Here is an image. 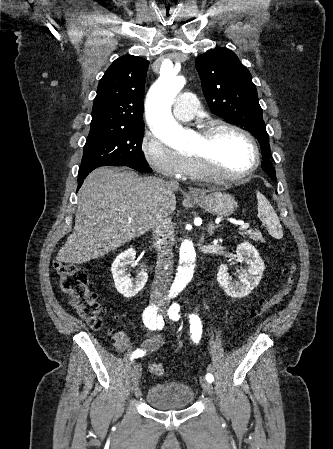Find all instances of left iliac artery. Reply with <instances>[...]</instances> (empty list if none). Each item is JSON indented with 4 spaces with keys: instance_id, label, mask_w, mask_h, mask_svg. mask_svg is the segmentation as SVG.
<instances>
[{
    "instance_id": "obj_1",
    "label": "left iliac artery",
    "mask_w": 333,
    "mask_h": 449,
    "mask_svg": "<svg viewBox=\"0 0 333 449\" xmlns=\"http://www.w3.org/2000/svg\"><path fill=\"white\" fill-rule=\"evenodd\" d=\"M179 311L180 306L177 303H173L168 310L169 318L172 320H179L180 318ZM189 318H190V332L192 334V340L194 341V343L197 344L199 343L202 334V323L200 318L195 314H191ZM205 378L210 383L213 382L214 380V377L211 373H207Z\"/></svg>"
}]
</instances>
